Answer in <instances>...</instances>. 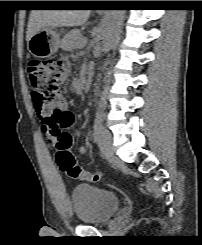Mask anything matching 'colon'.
Here are the masks:
<instances>
[{"mask_svg": "<svg viewBox=\"0 0 202 245\" xmlns=\"http://www.w3.org/2000/svg\"><path fill=\"white\" fill-rule=\"evenodd\" d=\"M27 74L35 93L34 107L38 113H45L46 130L55 138L54 156L59 169L73 179L99 181L101 175L89 172L79 165L72 153L74 137L67 129L74 123L75 116L69 111L50 109L51 104L61 94V86L68 75V68L61 60L33 59L28 63Z\"/></svg>", "mask_w": 202, "mask_h": 245, "instance_id": "obj_1", "label": "colon"}]
</instances>
